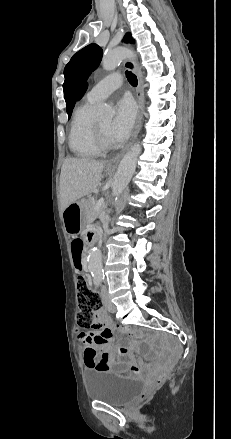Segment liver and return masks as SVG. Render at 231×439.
<instances>
[{
	"label": "liver",
	"instance_id": "liver-1",
	"mask_svg": "<svg viewBox=\"0 0 231 439\" xmlns=\"http://www.w3.org/2000/svg\"><path fill=\"white\" fill-rule=\"evenodd\" d=\"M104 167V162L88 158L64 160L60 174V202L63 210L97 189Z\"/></svg>",
	"mask_w": 231,
	"mask_h": 439
}]
</instances>
